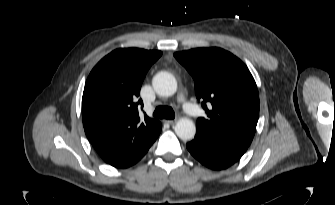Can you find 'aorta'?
Returning <instances> with one entry per match:
<instances>
[{"mask_svg":"<svg viewBox=\"0 0 335 205\" xmlns=\"http://www.w3.org/2000/svg\"><path fill=\"white\" fill-rule=\"evenodd\" d=\"M152 85L155 92L161 96H172L177 91V81L175 77L166 71L157 73ZM175 133L182 140H191L196 133L194 122L189 118H181L175 125Z\"/></svg>","mask_w":335,"mask_h":205,"instance_id":"1","label":"aorta"}]
</instances>
